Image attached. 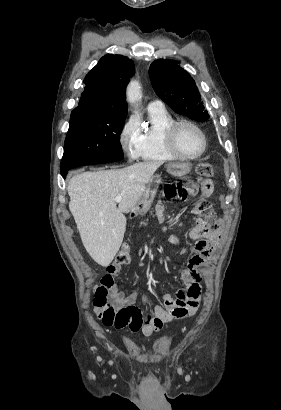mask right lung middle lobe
I'll return each mask as SVG.
<instances>
[{
    "label": "right lung middle lobe",
    "instance_id": "right-lung-middle-lobe-1",
    "mask_svg": "<svg viewBox=\"0 0 281 410\" xmlns=\"http://www.w3.org/2000/svg\"><path fill=\"white\" fill-rule=\"evenodd\" d=\"M126 115L87 107L75 108L65 139L61 172L81 165L122 159L120 134Z\"/></svg>",
    "mask_w": 281,
    "mask_h": 410
}]
</instances>
